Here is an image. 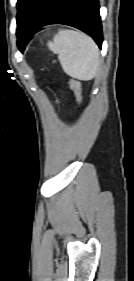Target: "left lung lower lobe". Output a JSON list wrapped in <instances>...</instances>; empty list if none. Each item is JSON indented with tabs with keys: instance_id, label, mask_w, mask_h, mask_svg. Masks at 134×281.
Instances as JSON below:
<instances>
[{
	"instance_id": "1",
	"label": "left lung lower lobe",
	"mask_w": 134,
	"mask_h": 281,
	"mask_svg": "<svg viewBox=\"0 0 134 281\" xmlns=\"http://www.w3.org/2000/svg\"><path fill=\"white\" fill-rule=\"evenodd\" d=\"M65 24L89 34L101 48L102 30L98 0H41L26 27L17 32L21 52L31 36L48 24Z\"/></svg>"
}]
</instances>
